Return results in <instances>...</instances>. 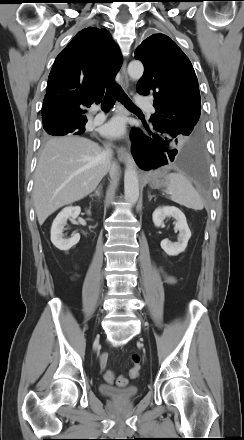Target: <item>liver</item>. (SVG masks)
Wrapping results in <instances>:
<instances>
[{"mask_svg": "<svg viewBox=\"0 0 244 440\" xmlns=\"http://www.w3.org/2000/svg\"><path fill=\"white\" fill-rule=\"evenodd\" d=\"M109 170L116 174L118 168L107 166L97 143L75 136L49 140L34 173L32 197L39 224L57 209L93 192Z\"/></svg>", "mask_w": 244, "mask_h": 440, "instance_id": "liver-1", "label": "liver"}]
</instances>
